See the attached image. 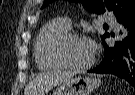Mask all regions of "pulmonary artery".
I'll list each match as a JSON object with an SVG mask.
<instances>
[{"instance_id": "pulmonary-artery-1", "label": "pulmonary artery", "mask_w": 135, "mask_h": 95, "mask_svg": "<svg viewBox=\"0 0 135 95\" xmlns=\"http://www.w3.org/2000/svg\"><path fill=\"white\" fill-rule=\"evenodd\" d=\"M105 19H106L107 22H109V23H111V24H113V25H117L116 22L110 20L107 16L105 17ZM65 23H66L68 26H70V23H69L68 20H65Z\"/></svg>"}]
</instances>
